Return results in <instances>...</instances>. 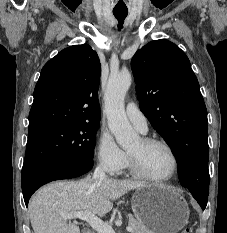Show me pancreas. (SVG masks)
<instances>
[{"instance_id": "pancreas-1", "label": "pancreas", "mask_w": 227, "mask_h": 233, "mask_svg": "<svg viewBox=\"0 0 227 233\" xmlns=\"http://www.w3.org/2000/svg\"><path fill=\"white\" fill-rule=\"evenodd\" d=\"M128 224L132 228V233H151L141 221L137 220L133 216L129 217Z\"/></svg>"}]
</instances>
